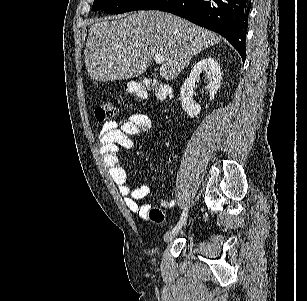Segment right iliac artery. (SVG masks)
<instances>
[{
  "label": "right iliac artery",
  "mask_w": 307,
  "mask_h": 301,
  "mask_svg": "<svg viewBox=\"0 0 307 301\" xmlns=\"http://www.w3.org/2000/svg\"><path fill=\"white\" fill-rule=\"evenodd\" d=\"M186 219H187V207L184 208L183 212H182V215H181V218H180V221L178 222V224L174 227V231H178L182 228V226L185 224L186 222Z\"/></svg>",
  "instance_id": "obj_1"
}]
</instances>
